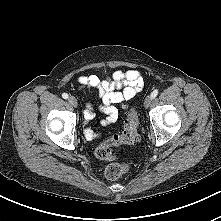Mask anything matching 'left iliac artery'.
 <instances>
[{"instance_id":"1","label":"left iliac artery","mask_w":221,"mask_h":221,"mask_svg":"<svg viewBox=\"0 0 221 221\" xmlns=\"http://www.w3.org/2000/svg\"><path fill=\"white\" fill-rule=\"evenodd\" d=\"M157 95H158V89H155V90L151 93L152 99H154Z\"/></svg>"}]
</instances>
